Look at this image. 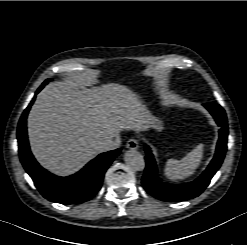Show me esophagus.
I'll return each instance as SVG.
<instances>
[{
    "instance_id": "34e87169",
    "label": "esophagus",
    "mask_w": 247,
    "mask_h": 245,
    "mask_svg": "<svg viewBox=\"0 0 247 245\" xmlns=\"http://www.w3.org/2000/svg\"><path fill=\"white\" fill-rule=\"evenodd\" d=\"M138 142L137 140L135 139H131L129 142H128V145L131 146V147H135L137 146Z\"/></svg>"
}]
</instances>
